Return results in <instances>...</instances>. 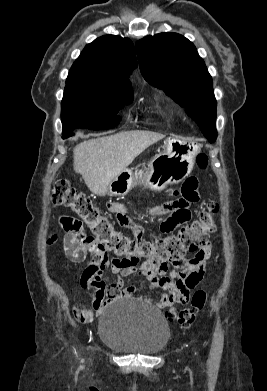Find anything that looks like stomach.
Wrapping results in <instances>:
<instances>
[{
    "instance_id": "obj_1",
    "label": "stomach",
    "mask_w": 267,
    "mask_h": 391,
    "mask_svg": "<svg viewBox=\"0 0 267 391\" xmlns=\"http://www.w3.org/2000/svg\"><path fill=\"white\" fill-rule=\"evenodd\" d=\"M200 147L195 142L178 138L164 141L163 150L149 163L148 169L139 177L132 170L125 169L108 185L109 196L126 195L135 185L143 184L153 190H163L167 185L177 184L193 170Z\"/></svg>"
}]
</instances>
